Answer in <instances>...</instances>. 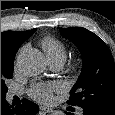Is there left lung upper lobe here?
I'll return each instance as SVG.
<instances>
[{"instance_id": "5c2ea615", "label": "left lung upper lobe", "mask_w": 115, "mask_h": 115, "mask_svg": "<svg viewBox=\"0 0 115 115\" xmlns=\"http://www.w3.org/2000/svg\"><path fill=\"white\" fill-rule=\"evenodd\" d=\"M59 30L76 44L83 61L81 75L70 91L67 103L115 115V64L109 48L85 28Z\"/></svg>"}]
</instances>
